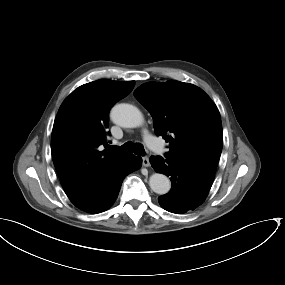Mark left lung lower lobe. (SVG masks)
Listing matches in <instances>:
<instances>
[{
	"label": "left lung lower lobe",
	"mask_w": 285,
	"mask_h": 285,
	"mask_svg": "<svg viewBox=\"0 0 285 285\" xmlns=\"http://www.w3.org/2000/svg\"><path fill=\"white\" fill-rule=\"evenodd\" d=\"M150 163L156 172L170 176L172 182L169 193L158 198L162 208L183 214L204 202L215 174L168 158L151 156Z\"/></svg>",
	"instance_id": "left-lung-lower-lobe-1"
}]
</instances>
